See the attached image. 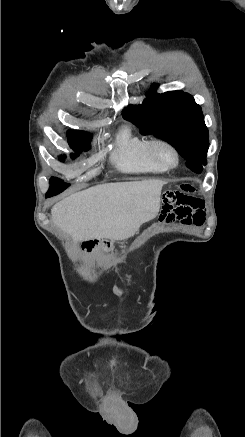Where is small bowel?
I'll return each instance as SVG.
<instances>
[{"instance_id": "small-bowel-1", "label": "small bowel", "mask_w": 245, "mask_h": 437, "mask_svg": "<svg viewBox=\"0 0 245 437\" xmlns=\"http://www.w3.org/2000/svg\"><path fill=\"white\" fill-rule=\"evenodd\" d=\"M176 191L167 193L163 208L159 210L161 224H173L175 220L186 226H201L205 221L203 200L189 194L194 188L188 183H179Z\"/></svg>"}]
</instances>
